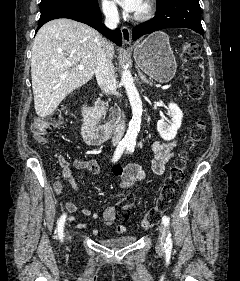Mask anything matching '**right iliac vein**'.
Masks as SVG:
<instances>
[{
	"instance_id": "obj_1",
	"label": "right iliac vein",
	"mask_w": 240,
	"mask_h": 281,
	"mask_svg": "<svg viewBox=\"0 0 240 281\" xmlns=\"http://www.w3.org/2000/svg\"><path fill=\"white\" fill-rule=\"evenodd\" d=\"M67 239L71 240V235L67 232Z\"/></svg>"
}]
</instances>
